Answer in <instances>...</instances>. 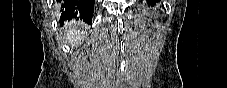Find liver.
Returning a JSON list of instances; mask_svg holds the SVG:
<instances>
[{
	"label": "liver",
	"mask_w": 227,
	"mask_h": 88,
	"mask_svg": "<svg viewBox=\"0 0 227 88\" xmlns=\"http://www.w3.org/2000/svg\"><path fill=\"white\" fill-rule=\"evenodd\" d=\"M84 36H85V32L83 31L80 32L78 30L70 29L67 32L66 40L70 44L74 43L75 45H78Z\"/></svg>",
	"instance_id": "6515ba94"
}]
</instances>
